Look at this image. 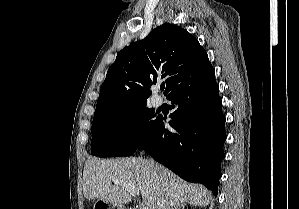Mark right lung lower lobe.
Masks as SVG:
<instances>
[{
	"mask_svg": "<svg viewBox=\"0 0 299 209\" xmlns=\"http://www.w3.org/2000/svg\"><path fill=\"white\" fill-rule=\"evenodd\" d=\"M166 97L175 108L172 129L157 116L136 150L144 149L181 178L201 183L217 196L226 134L215 72L186 78Z\"/></svg>",
	"mask_w": 299,
	"mask_h": 209,
	"instance_id": "1",
	"label": "right lung lower lobe"
}]
</instances>
